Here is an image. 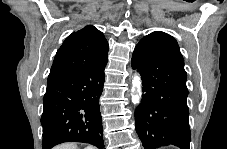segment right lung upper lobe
Masks as SVG:
<instances>
[{
  "instance_id": "obj_1",
  "label": "right lung upper lobe",
  "mask_w": 227,
  "mask_h": 149,
  "mask_svg": "<svg viewBox=\"0 0 227 149\" xmlns=\"http://www.w3.org/2000/svg\"><path fill=\"white\" fill-rule=\"evenodd\" d=\"M108 42L101 31L89 25L69 35L58 49L47 84L84 72L108 60Z\"/></svg>"
}]
</instances>
